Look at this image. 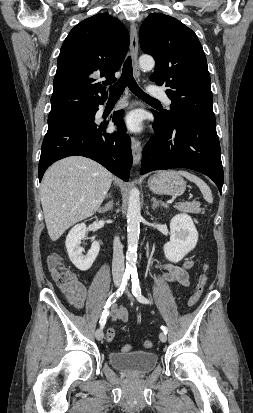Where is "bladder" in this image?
<instances>
[{"instance_id": "bladder-1", "label": "bladder", "mask_w": 253, "mask_h": 413, "mask_svg": "<svg viewBox=\"0 0 253 413\" xmlns=\"http://www.w3.org/2000/svg\"><path fill=\"white\" fill-rule=\"evenodd\" d=\"M110 365L122 372L132 375H143L152 371L158 356L152 351L137 350L127 353L111 352L108 355Z\"/></svg>"}]
</instances>
